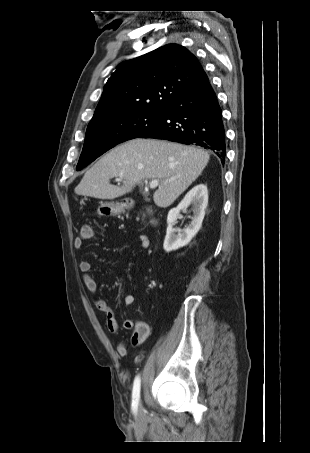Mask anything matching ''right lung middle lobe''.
<instances>
[{"instance_id":"dd1d6c3e","label":"right lung middle lobe","mask_w":310,"mask_h":453,"mask_svg":"<svg viewBox=\"0 0 310 453\" xmlns=\"http://www.w3.org/2000/svg\"><path fill=\"white\" fill-rule=\"evenodd\" d=\"M162 115L163 110L133 111L91 121L76 169L81 170L117 144L139 137L153 127Z\"/></svg>"}]
</instances>
